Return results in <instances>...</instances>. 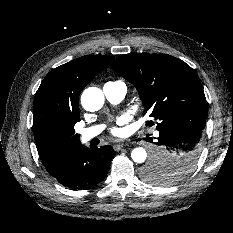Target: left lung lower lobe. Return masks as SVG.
<instances>
[{"instance_id":"1","label":"left lung lower lobe","mask_w":233,"mask_h":233,"mask_svg":"<svg viewBox=\"0 0 233 233\" xmlns=\"http://www.w3.org/2000/svg\"><path fill=\"white\" fill-rule=\"evenodd\" d=\"M204 124L175 123L159 130L156 142L148 141L157 146L153 161L170 167L177 165L182 159L197 161L202 148V131Z\"/></svg>"}]
</instances>
